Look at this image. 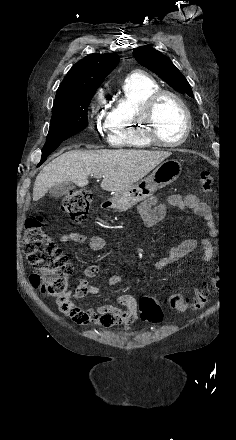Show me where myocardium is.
<instances>
[{"instance_id": "1", "label": "myocardium", "mask_w": 236, "mask_h": 440, "mask_svg": "<svg viewBox=\"0 0 236 440\" xmlns=\"http://www.w3.org/2000/svg\"><path fill=\"white\" fill-rule=\"evenodd\" d=\"M164 97H171L174 99L181 107L185 116V129L183 135L177 141H164L162 140L157 131V122L155 117L156 108L160 100ZM141 120L144 124V133L146 138L155 146L159 147H177L182 145L188 139L191 128H192V118L185 101L175 92L166 89H159L150 95L144 103Z\"/></svg>"}]
</instances>
